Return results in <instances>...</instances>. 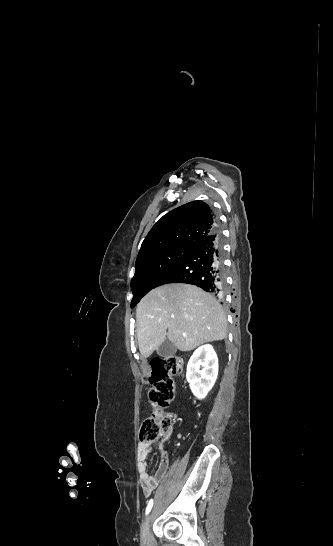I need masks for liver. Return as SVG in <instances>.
<instances>
[{"instance_id": "liver-1", "label": "liver", "mask_w": 333, "mask_h": 546, "mask_svg": "<svg viewBox=\"0 0 333 546\" xmlns=\"http://www.w3.org/2000/svg\"><path fill=\"white\" fill-rule=\"evenodd\" d=\"M137 337L142 355L149 357L166 340L180 351L226 337L227 319L222 306L209 293L184 283L151 290L136 309Z\"/></svg>"}]
</instances>
